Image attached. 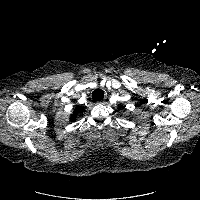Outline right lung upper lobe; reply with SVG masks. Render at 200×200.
Instances as JSON below:
<instances>
[{
    "mask_svg": "<svg viewBox=\"0 0 200 200\" xmlns=\"http://www.w3.org/2000/svg\"><path fill=\"white\" fill-rule=\"evenodd\" d=\"M83 112V108L80 106H77L73 112V115L71 116V121L76 120L77 114Z\"/></svg>",
    "mask_w": 200,
    "mask_h": 200,
    "instance_id": "right-lung-upper-lobe-1",
    "label": "right lung upper lobe"
}]
</instances>
